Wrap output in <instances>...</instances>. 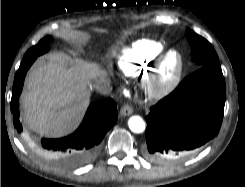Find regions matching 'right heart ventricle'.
I'll return each instance as SVG.
<instances>
[{
  "label": "right heart ventricle",
  "instance_id": "e07e8e85",
  "mask_svg": "<svg viewBox=\"0 0 245 187\" xmlns=\"http://www.w3.org/2000/svg\"><path fill=\"white\" fill-rule=\"evenodd\" d=\"M163 50V44L158 41L139 40L123 50L117 61L119 70L127 77L143 76L151 70Z\"/></svg>",
  "mask_w": 245,
  "mask_h": 187
}]
</instances>
